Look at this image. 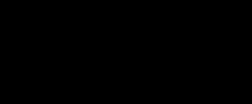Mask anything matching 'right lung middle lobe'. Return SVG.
I'll return each instance as SVG.
<instances>
[{"label": "right lung middle lobe", "mask_w": 252, "mask_h": 104, "mask_svg": "<svg viewBox=\"0 0 252 104\" xmlns=\"http://www.w3.org/2000/svg\"><path fill=\"white\" fill-rule=\"evenodd\" d=\"M112 24L111 18L95 15L81 16L65 24L47 38L37 69L42 72L54 56L69 55L88 72L106 77L102 45Z\"/></svg>", "instance_id": "right-lung-middle-lobe-1"}]
</instances>
